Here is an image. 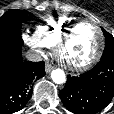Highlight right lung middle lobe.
Segmentation results:
<instances>
[{"mask_svg": "<svg viewBox=\"0 0 114 114\" xmlns=\"http://www.w3.org/2000/svg\"><path fill=\"white\" fill-rule=\"evenodd\" d=\"M27 21L26 12L9 10L0 17V43L23 45L21 25Z\"/></svg>", "mask_w": 114, "mask_h": 114, "instance_id": "right-lung-middle-lobe-1", "label": "right lung middle lobe"}]
</instances>
